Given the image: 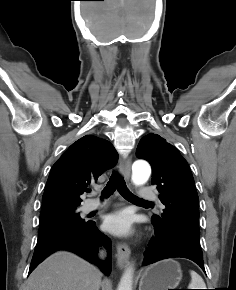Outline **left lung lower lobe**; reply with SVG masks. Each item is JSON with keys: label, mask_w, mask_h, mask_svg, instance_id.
<instances>
[{"label": "left lung lower lobe", "mask_w": 236, "mask_h": 290, "mask_svg": "<svg viewBox=\"0 0 236 290\" xmlns=\"http://www.w3.org/2000/svg\"><path fill=\"white\" fill-rule=\"evenodd\" d=\"M152 224L154 236L150 239L144 252V265L162 259L182 257L194 261L205 271L198 237L171 226L159 225L154 222Z\"/></svg>", "instance_id": "left-lung-lower-lobe-1"}]
</instances>
